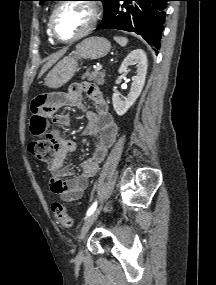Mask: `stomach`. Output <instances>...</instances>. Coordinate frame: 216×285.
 Segmentation results:
<instances>
[{
  "mask_svg": "<svg viewBox=\"0 0 216 285\" xmlns=\"http://www.w3.org/2000/svg\"><path fill=\"white\" fill-rule=\"evenodd\" d=\"M110 42L103 37H89L80 42L75 51L60 60L47 74L45 84L49 88L58 89L68 83L78 71V61L83 59H99L110 51Z\"/></svg>",
  "mask_w": 216,
  "mask_h": 285,
  "instance_id": "1",
  "label": "stomach"
}]
</instances>
